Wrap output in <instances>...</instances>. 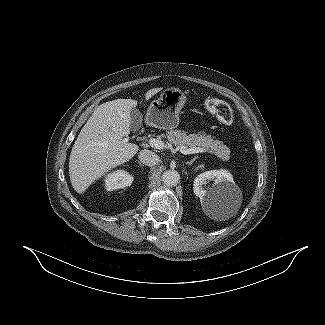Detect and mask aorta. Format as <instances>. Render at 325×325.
<instances>
[{"instance_id": "aorta-1", "label": "aorta", "mask_w": 325, "mask_h": 325, "mask_svg": "<svg viewBox=\"0 0 325 325\" xmlns=\"http://www.w3.org/2000/svg\"><path fill=\"white\" fill-rule=\"evenodd\" d=\"M162 181L166 186H175L180 181V174L176 170H167L162 175Z\"/></svg>"}]
</instances>
